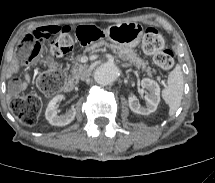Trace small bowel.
<instances>
[{
	"label": "small bowel",
	"instance_id": "small-bowel-1",
	"mask_svg": "<svg viewBox=\"0 0 215 183\" xmlns=\"http://www.w3.org/2000/svg\"><path fill=\"white\" fill-rule=\"evenodd\" d=\"M63 29H69V26H60V25H45V26H40L36 29H34L33 31L29 32L23 42L27 45V46H32V43L37 40L40 39V41H43L51 36H54L57 32L63 30ZM22 42V43H23ZM24 49L21 48L20 46V51L19 53H23ZM49 66L52 68H55L57 66V63L54 61H49ZM21 63L18 62H14L8 69V75H11L13 73H16L18 71V69L20 68ZM29 82V78H25L23 80H15L12 84H11V88H10V92L11 94H17L20 91L24 90Z\"/></svg>",
	"mask_w": 215,
	"mask_h": 183
}]
</instances>
